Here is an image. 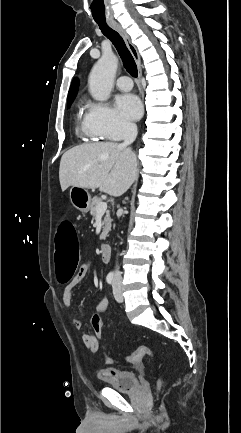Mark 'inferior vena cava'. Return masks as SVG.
I'll return each mask as SVG.
<instances>
[{"label": "inferior vena cava", "mask_w": 241, "mask_h": 433, "mask_svg": "<svg viewBox=\"0 0 241 433\" xmlns=\"http://www.w3.org/2000/svg\"><path fill=\"white\" fill-rule=\"evenodd\" d=\"M137 126L134 123H125L124 125V129H123V143L121 144V146L123 147H127L128 145H130L131 143H133L137 137ZM122 212V210H121ZM114 280L115 281H121L122 280V276H121V272L119 271V268L116 267V271L114 274Z\"/></svg>", "instance_id": "obj_1"}]
</instances>
